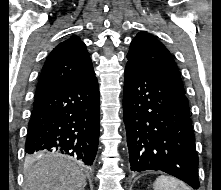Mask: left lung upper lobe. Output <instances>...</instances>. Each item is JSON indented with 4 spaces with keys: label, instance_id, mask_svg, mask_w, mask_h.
I'll use <instances>...</instances> for the list:
<instances>
[{
    "label": "left lung upper lobe",
    "instance_id": "left-lung-upper-lobe-1",
    "mask_svg": "<svg viewBox=\"0 0 221 190\" xmlns=\"http://www.w3.org/2000/svg\"><path fill=\"white\" fill-rule=\"evenodd\" d=\"M127 59L128 62L155 72L181 92L185 93L179 70L172 55L151 34L140 32L136 35L130 44Z\"/></svg>",
    "mask_w": 221,
    "mask_h": 190
}]
</instances>
